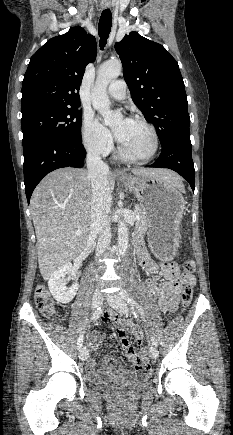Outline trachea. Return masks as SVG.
Here are the masks:
<instances>
[{
  "label": "trachea",
  "instance_id": "3493384b",
  "mask_svg": "<svg viewBox=\"0 0 233 435\" xmlns=\"http://www.w3.org/2000/svg\"><path fill=\"white\" fill-rule=\"evenodd\" d=\"M111 22H112V15L110 9L103 10L98 26V32L100 37L99 43L101 49H103L107 44V39L109 37V33L111 30Z\"/></svg>",
  "mask_w": 233,
  "mask_h": 435
}]
</instances>
